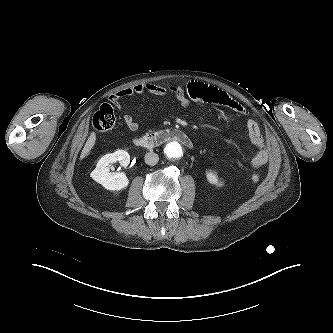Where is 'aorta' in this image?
I'll list each match as a JSON object with an SVG mask.
<instances>
[{
  "instance_id": "obj_1",
  "label": "aorta",
  "mask_w": 333,
  "mask_h": 333,
  "mask_svg": "<svg viewBox=\"0 0 333 333\" xmlns=\"http://www.w3.org/2000/svg\"><path fill=\"white\" fill-rule=\"evenodd\" d=\"M165 153L170 159H179L183 155V147L178 141H173L167 144Z\"/></svg>"
}]
</instances>
